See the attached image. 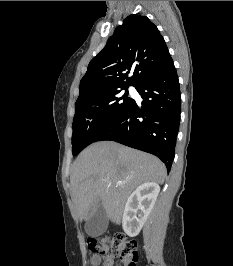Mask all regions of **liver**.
Masks as SVG:
<instances>
[{"label":"liver","mask_w":233,"mask_h":266,"mask_svg":"<svg viewBox=\"0 0 233 266\" xmlns=\"http://www.w3.org/2000/svg\"><path fill=\"white\" fill-rule=\"evenodd\" d=\"M165 177L166 168L157 157L114 141L96 142L84 149L74 162L71 198L81 221L87 220L92 214L91 207L100 201L107 217L120 224L132 191L146 182L163 184ZM117 182L125 184L118 186Z\"/></svg>","instance_id":"liver-1"}]
</instances>
